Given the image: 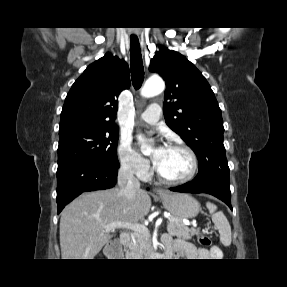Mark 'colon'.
Masks as SVG:
<instances>
[{"mask_svg": "<svg viewBox=\"0 0 287 287\" xmlns=\"http://www.w3.org/2000/svg\"><path fill=\"white\" fill-rule=\"evenodd\" d=\"M198 241H199L200 245H202L204 247H210L212 244L211 237L206 233H201L198 236ZM110 247L112 248L113 254H117L119 252V245L117 243L112 244Z\"/></svg>", "mask_w": 287, "mask_h": 287, "instance_id": "colon-1", "label": "colon"}]
</instances>
